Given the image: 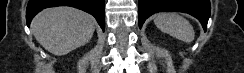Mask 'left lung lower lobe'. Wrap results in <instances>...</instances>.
<instances>
[{
    "instance_id": "left-lung-lower-lobe-1",
    "label": "left lung lower lobe",
    "mask_w": 244,
    "mask_h": 73,
    "mask_svg": "<svg viewBox=\"0 0 244 73\" xmlns=\"http://www.w3.org/2000/svg\"><path fill=\"white\" fill-rule=\"evenodd\" d=\"M168 11L188 13L199 19L206 30L211 7L209 0H139V28L152 14Z\"/></svg>"
}]
</instances>
